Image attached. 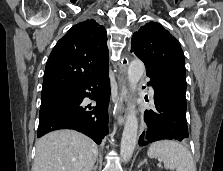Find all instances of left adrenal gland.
I'll return each instance as SVG.
<instances>
[{"label":"left adrenal gland","instance_id":"obj_1","mask_svg":"<svg viewBox=\"0 0 223 171\" xmlns=\"http://www.w3.org/2000/svg\"><path fill=\"white\" fill-rule=\"evenodd\" d=\"M147 160L144 159L139 165H138V168H140L143 164H146Z\"/></svg>","mask_w":223,"mask_h":171}]
</instances>
